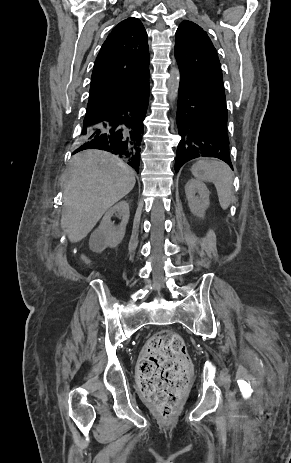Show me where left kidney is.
I'll use <instances>...</instances> for the list:
<instances>
[{"label":"left kidney","instance_id":"5707ae66","mask_svg":"<svg viewBox=\"0 0 291 463\" xmlns=\"http://www.w3.org/2000/svg\"><path fill=\"white\" fill-rule=\"evenodd\" d=\"M185 193L191 212L197 217L204 218L205 210L210 204V192L206 185L191 179L186 183Z\"/></svg>","mask_w":291,"mask_h":463}]
</instances>
